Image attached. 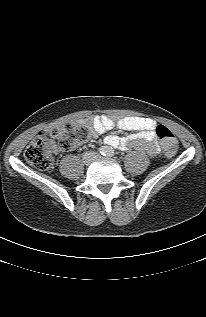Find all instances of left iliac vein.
<instances>
[{
  "instance_id": "obj_1",
  "label": "left iliac vein",
  "mask_w": 206,
  "mask_h": 317,
  "mask_svg": "<svg viewBox=\"0 0 206 317\" xmlns=\"http://www.w3.org/2000/svg\"><path fill=\"white\" fill-rule=\"evenodd\" d=\"M95 158H96V159H98V158H99V156H96Z\"/></svg>"
}]
</instances>
